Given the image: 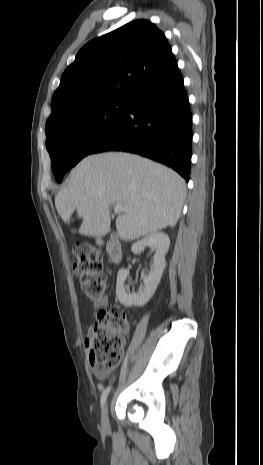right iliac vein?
I'll return each mask as SVG.
<instances>
[{
  "label": "right iliac vein",
  "instance_id": "63e3f726",
  "mask_svg": "<svg viewBox=\"0 0 263 465\" xmlns=\"http://www.w3.org/2000/svg\"><path fill=\"white\" fill-rule=\"evenodd\" d=\"M101 425L104 430L109 429L108 406L104 404L101 414Z\"/></svg>",
  "mask_w": 263,
  "mask_h": 465
}]
</instances>
